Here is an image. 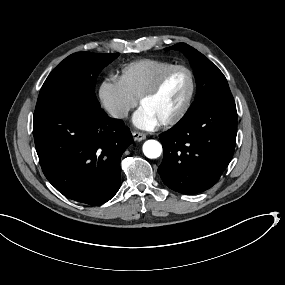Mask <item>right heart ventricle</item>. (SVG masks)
<instances>
[{
  "label": "right heart ventricle",
  "mask_w": 285,
  "mask_h": 285,
  "mask_svg": "<svg viewBox=\"0 0 285 285\" xmlns=\"http://www.w3.org/2000/svg\"><path fill=\"white\" fill-rule=\"evenodd\" d=\"M172 68V65L156 59H143L134 63V77L130 92L136 98L140 97L145 91L150 89L166 71Z\"/></svg>",
  "instance_id": "e07e8e85"
}]
</instances>
